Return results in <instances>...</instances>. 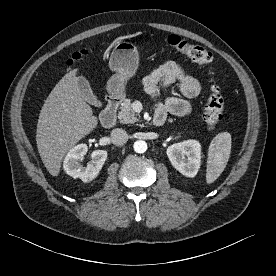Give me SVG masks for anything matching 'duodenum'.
<instances>
[{"label": "duodenum", "mask_w": 276, "mask_h": 276, "mask_svg": "<svg viewBox=\"0 0 276 276\" xmlns=\"http://www.w3.org/2000/svg\"><path fill=\"white\" fill-rule=\"evenodd\" d=\"M121 102V97L117 95H110L107 98L106 107L104 108L100 121L103 126L110 128L115 125L117 121V109ZM166 116L163 113H156L153 117V124L157 127L163 126Z\"/></svg>", "instance_id": "duodenum-1"}]
</instances>
